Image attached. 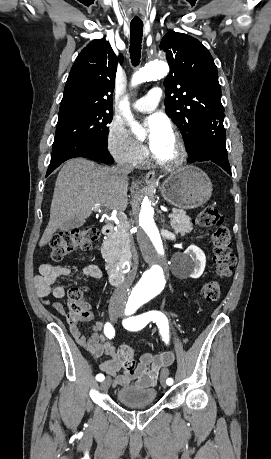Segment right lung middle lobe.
I'll return each mask as SVG.
<instances>
[{
	"label": "right lung middle lobe",
	"mask_w": 271,
	"mask_h": 459,
	"mask_svg": "<svg viewBox=\"0 0 271 459\" xmlns=\"http://www.w3.org/2000/svg\"><path fill=\"white\" fill-rule=\"evenodd\" d=\"M112 112L69 111L59 113L53 148L72 141L106 144Z\"/></svg>",
	"instance_id": "obj_1"
}]
</instances>
